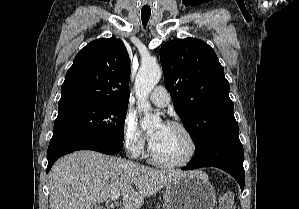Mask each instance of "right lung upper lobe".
I'll use <instances>...</instances> for the list:
<instances>
[{
	"label": "right lung upper lobe",
	"mask_w": 299,
	"mask_h": 209,
	"mask_svg": "<svg viewBox=\"0 0 299 209\" xmlns=\"http://www.w3.org/2000/svg\"><path fill=\"white\" fill-rule=\"evenodd\" d=\"M130 60L116 38H100L74 58L61 87L59 104L101 102L128 104Z\"/></svg>",
	"instance_id": "cb5924a9"
}]
</instances>
